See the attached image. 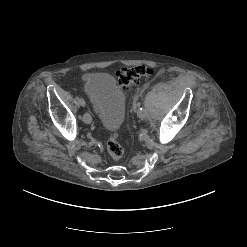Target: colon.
Wrapping results in <instances>:
<instances>
[{
	"label": "colon",
	"mask_w": 247,
	"mask_h": 247,
	"mask_svg": "<svg viewBox=\"0 0 247 247\" xmlns=\"http://www.w3.org/2000/svg\"><path fill=\"white\" fill-rule=\"evenodd\" d=\"M153 70L147 66L139 65L130 68H122L117 71L116 78L120 87L131 90L143 81L149 80ZM107 151L113 161H119L123 155V148L118 141V134L113 132L107 142Z\"/></svg>",
	"instance_id": "1"
}]
</instances>
